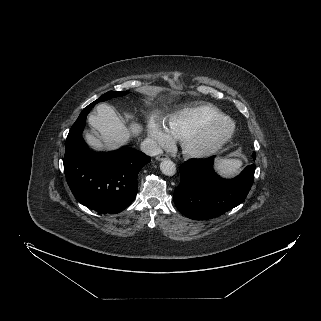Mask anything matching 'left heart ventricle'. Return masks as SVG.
Segmentation results:
<instances>
[{"instance_id": "obj_1", "label": "left heart ventricle", "mask_w": 321, "mask_h": 321, "mask_svg": "<svg viewBox=\"0 0 321 321\" xmlns=\"http://www.w3.org/2000/svg\"><path fill=\"white\" fill-rule=\"evenodd\" d=\"M223 131V127L217 128L214 131H212L210 134H208L201 142V145H206L208 143H211L214 141Z\"/></svg>"}]
</instances>
